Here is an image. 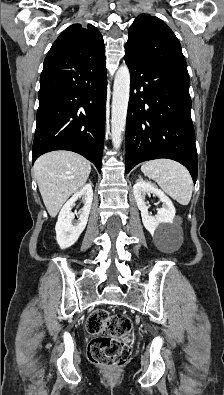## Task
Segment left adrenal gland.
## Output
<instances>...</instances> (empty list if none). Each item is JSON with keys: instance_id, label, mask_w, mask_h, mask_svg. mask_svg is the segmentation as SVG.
I'll return each instance as SVG.
<instances>
[{"instance_id": "obj_1", "label": "left adrenal gland", "mask_w": 224, "mask_h": 395, "mask_svg": "<svg viewBox=\"0 0 224 395\" xmlns=\"http://www.w3.org/2000/svg\"><path fill=\"white\" fill-rule=\"evenodd\" d=\"M138 177H139V179H142L140 175Z\"/></svg>"}]
</instances>
